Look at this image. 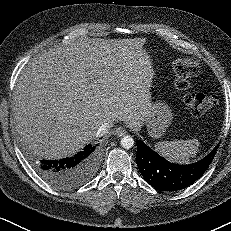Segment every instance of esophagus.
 Instances as JSON below:
<instances>
[{
  "label": "esophagus",
  "mask_w": 231,
  "mask_h": 231,
  "mask_svg": "<svg viewBox=\"0 0 231 231\" xmlns=\"http://www.w3.org/2000/svg\"><path fill=\"white\" fill-rule=\"evenodd\" d=\"M126 133H127L126 129L122 126L117 127L114 130V134L117 135L118 137H121V136L125 135Z\"/></svg>",
  "instance_id": "obj_1"
}]
</instances>
